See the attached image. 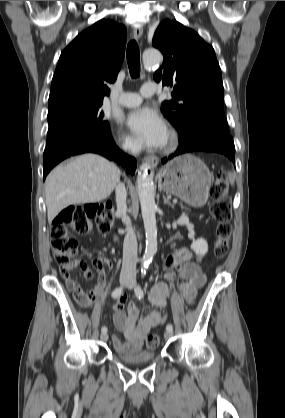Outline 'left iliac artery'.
Returning <instances> with one entry per match:
<instances>
[{
	"label": "left iliac artery",
	"mask_w": 285,
	"mask_h": 418,
	"mask_svg": "<svg viewBox=\"0 0 285 418\" xmlns=\"http://www.w3.org/2000/svg\"><path fill=\"white\" fill-rule=\"evenodd\" d=\"M145 275H146V270H143V271H142V278H144V277H145ZM135 295H136V297H137V298H139V299L143 298L144 293H143V290H142V288H141V286H140V285H138V286L136 287V289H135ZM166 330H167V331H172V330H173V326H172L171 324H168V325L166 326Z\"/></svg>",
	"instance_id": "44dca946"
}]
</instances>
